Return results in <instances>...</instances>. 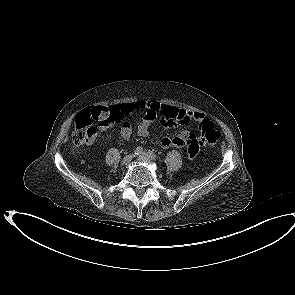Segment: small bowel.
I'll use <instances>...</instances> for the list:
<instances>
[{"instance_id":"1","label":"small bowel","mask_w":295,"mask_h":295,"mask_svg":"<svg viewBox=\"0 0 295 295\" xmlns=\"http://www.w3.org/2000/svg\"><path fill=\"white\" fill-rule=\"evenodd\" d=\"M107 108L111 112V115L104 116L100 119L98 123L99 130L105 131L110 128L115 121H121L124 117L136 111H142L144 116L137 129V133L140 137L148 136L150 125L157 117H160L163 124L166 126L188 124L191 120L200 121L201 123L205 120H209L202 112L181 109L151 100L134 101ZM131 135L132 126L130 122L124 120L121 126V136L124 140H129ZM160 146L163 148L186 149L189 156H194L199 150L200 141L194 133L182 131L173 137H163L160 140Z\"/></svg>"}]
</instances>
